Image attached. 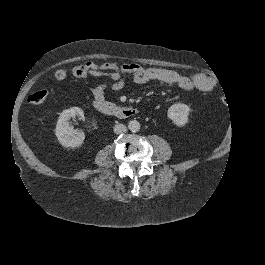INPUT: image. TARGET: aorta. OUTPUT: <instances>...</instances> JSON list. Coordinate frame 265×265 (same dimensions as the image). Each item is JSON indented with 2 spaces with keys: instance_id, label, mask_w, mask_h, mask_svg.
Wrapping results in <instances>:
<instances>
[{
  "instance_id": "obj_1",
  "label": "aorta",
  "mask_w": 265,
  "mask_h": 265,
  "mask_svg": "<svg viewBox=\"0 0 265 265\" xmlns=\"http://www.w3.org/2000/svg\"><path fill=\"white\" fill-rule=\"evenodd\" d=\"M128 128L132 132H137L140 130V123L137 120H132L129 122Z\"/></svg>"
}]
</instances>
